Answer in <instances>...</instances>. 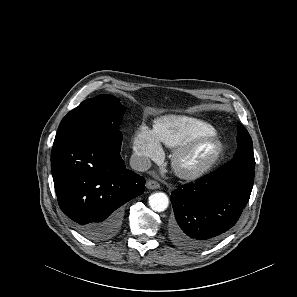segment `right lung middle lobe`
I'll list each match as a JSON object with an SVG mask.
<instances>
[{"label": "right lung middle lobe", "instance_id": "dd1d6c3e", "mask_svg": "<svg viewBox=\"0 0 297 297\" xmlns=\"http://www.w3.org/2000/svg\"><path fill=\"white\" fill-rule=\"evenodd\" d=\"M125 108L119 99L112 95H99L82 102L70 111L61 121L55 139L93 131H118Z\"/></svg>", "mask_w": 297, "mask_h": 297}]
</instances>
